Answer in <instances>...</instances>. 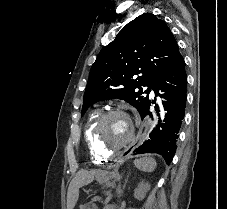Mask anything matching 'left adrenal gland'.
Here are the masks:
<instances>
[{
    "instance_id": "obj_1",
    "label": "left adrenal gland",
    "mask_w": 227,
    "mask_h": 209,
    "mask_svg": "<svg viewBox=\"0 0 227 209\" xmlns=\"http://www.w3.org/2000/svg\"><path fill=\"white\" fill-rule=\"evenodd\" d=\"M124 187H125V185H123V189H124ZM117 191H118V195H121V193H122V191H121V185H119Z\"/></svg>"
}]
</instances>
